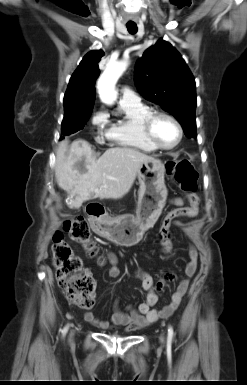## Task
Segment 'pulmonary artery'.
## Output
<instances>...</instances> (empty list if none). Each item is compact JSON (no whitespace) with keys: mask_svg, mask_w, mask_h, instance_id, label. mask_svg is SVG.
Returning a JSON list of instances; mask_svg holds the SVG:
<instances>
[{"mask_svg":"<svg viewBox=\"0 0 247 385\" xmlns=\"http://www.w3.org/2000/svg\"><path fill=\"white\" fill-rule=\"evenodd\" d=\"M140 102L139 96L127 87H123L121 90L120 103L124 104H136Z\"/></svg>","mask_w":247,"mask_h":385,"instance_id":"1","label":"pulmonary artery"}]
</instances>
